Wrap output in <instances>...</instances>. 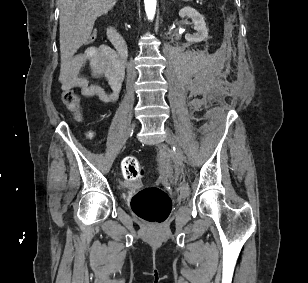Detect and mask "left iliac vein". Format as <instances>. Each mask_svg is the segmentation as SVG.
<instances>
[{
	"mask_svg": "<svg viewBox=\"0 0 308 283\" xmlns=\"http://www.w3.org/2000/svg\"><path fill=\"white\" fill-rule=\"evenodd\" d=\"M166 142L174 147L175 149V158L177 160V162L181 165L183 162L186 161V157H185V154L183 152V150L181 149V147L178 145L177 141L175 140L173 134L169 131V130H166Z\"/></svg>",
	"mask_w": 308,
	"mask_h": 283,
	"instance_id": "4c4485c4",
	"label": "left iliac vein"
}]
</instances>
